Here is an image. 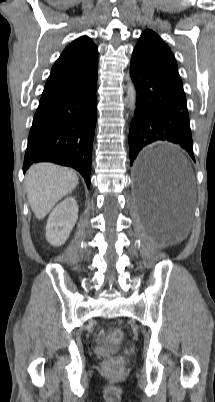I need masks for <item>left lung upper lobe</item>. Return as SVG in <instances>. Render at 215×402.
I'll return each mask as SVG.
<instances>
[{
    "mask_svg": "<svg viewBox=\"0 0 215 402\" xmlns=\"http://www.w3.org/2000/svg\"><path fill=\"white\" fill-rule=\"evenodd\" d=\"M133 61L163 72L182 83L171 49L152 30H145L133 50Z\"/></svg>",
    "mask_w": 215,
    "mask_h": 402,
    "instance_id": "5c2ea615",
    "label": "left lung upper lobe"
}]
</instances>
